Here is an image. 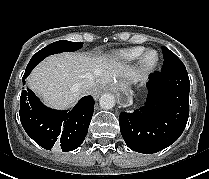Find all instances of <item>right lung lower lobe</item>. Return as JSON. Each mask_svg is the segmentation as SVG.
Returning <instances> with one entry per match:
<instances>
[{"label":"right lung lower lobe","mask_w":209,"mask_h":179,"mask_svg":"<svg viewBox=\"0 0 209 179\" xmlns=\"http://www.w3.org/2000/svg\"><path fill=\"white\" fill-rule=\"evenodd\" d=\"M30 72L24 73L23 85ZM93 111L91 96L83 97L70 111L44 106L29 88H24L20 97L21 124L26 133L46 150L60 147L67 152L78 148L87 135Z\"/></svg>","instance_id":"obj_1"}]
</instances>
